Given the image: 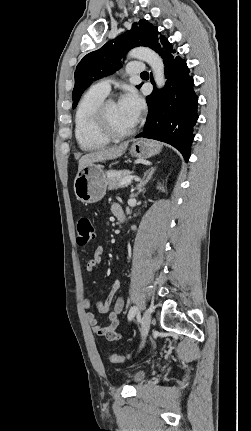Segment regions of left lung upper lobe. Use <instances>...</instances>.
Returning <instances> with one entry per match:
<instances>
[{"label": "left lung upper lobe", "instance_id": "5c2ea615", "mask_svg": "<svg viewBox=\"0 0 251 431\" xmlns=\"http://www.w3.org/2000/svg\"><path fill=\"white\" fill-rule=\"evenodd\" d=\"M160 37L157 27L142 19L139 23H134L130 31L84 56L75 71V86L72 94L73 108L77 106L82 93L94 80L112 74L122 66L120 60L125 56L124 52L136 46L152 48ZM140 87L141 85L137 86V88Z\"/></svg>", "mask_w": 251, "mask_h": 431}]
</instances>
